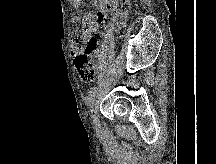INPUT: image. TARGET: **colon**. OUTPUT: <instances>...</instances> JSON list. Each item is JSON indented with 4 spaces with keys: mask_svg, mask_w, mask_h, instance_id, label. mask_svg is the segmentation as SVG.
I'll return each mask as SVG.
<instances>
[{
    "mask_svg": "<svg viewBox=\"0 0 216 164\" xmlns=\"http://www.w3.org/2000/svg\"><path fill=\"white\" fill-rule=\"evenodd\" d=\"M129 11L130 0H106L97 15L84 19L83 32L76 34L72 40V51L76 54L75 65L83 81L92 82L97 73L98 41L93 36L94 32L109 12L114 14L115 25L123 27Z\"/></svg>",
    "mask_w": 216,
    "mask_h": 164,
    "instance_id": "colon-1",
    "label": "colon"
}]
</instances>
